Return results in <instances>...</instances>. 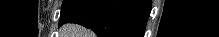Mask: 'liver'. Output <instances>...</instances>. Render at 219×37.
Returning a JSON list of instances; mask_svg holds the SVG:
<instances>
[{
    "label": "liver",
    "instance_id": "obj_1",
    "mask_svg": "<svg viewBox=\"0 0 219 37\" xmlns=\"http://www.w3.org/2000/svg\"><path fill=\"white\" fill-rule=\"evenodd\" d=\"M61 37H92V32L77 24H66L61 28Z\"/></svg>",
    "mask_w": 219,
    "mask_h": 37
}]
</instances>
